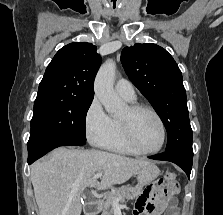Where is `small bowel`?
<instances>
[{
	"mask_svg": "<svg viewBox=\"0 0 223 215\" xmlns=\"http://www.w3.org/2000/svg\"><path fill=\"white\" fill-rule=\"evenodd\" d=\"M179 184L175 181L164 182L162 179L148 185L138 196L134 207L135 215H178L175 195Z\"/></svg>",
	"mask_w": 223,
	"mask_h": 215,
	"instance_id": "c3829d8e",
	"label": "small bowel"
}]
</instances>
